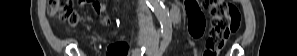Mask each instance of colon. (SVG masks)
Wrapping results in <instances>:
<instances>
[{
  "instance_id": "obj_1",
  "label": "colon",
  "mask_w": 297,
  "mask_h": 56,
  "mask_svg": "<svg viewBox=\"0 0 297 56\" xmlns=\"http://www.w3.org/2000/svg\"><path fill=\"white\" fill-rule=\"evenodd\" d=\"M206 5L212 23L203 56H217L229 36L238 31L241 16L238 8L225 0H207ZM92 8L96 14L103 11V6L98 1L92 3ZM48 13L62 21H66L71 26L77 25L80 21L79 13L74 10L73 2L70 0H50L48 2Z\"/></svg>"
}]
</instances>
